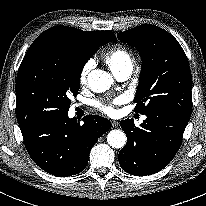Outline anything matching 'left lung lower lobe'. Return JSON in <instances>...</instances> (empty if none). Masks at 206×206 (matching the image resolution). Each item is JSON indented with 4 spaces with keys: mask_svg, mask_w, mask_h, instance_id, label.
<instances>
[{
    "mask_svg": "<svg viewBox=\"0 0 206 206\" xmlns=\"http://www.w3.org/2000/svg\"><path fill=\"white\" fill-rule=\"evenodd\" d=\"M146 120L136 127L133 119L120 122L127 144L118 160L124 171L135 176L154 174L175 156L182 143L190 114L156 109L145 113Z\"/></svg>",
    "mask_w": 206,
    "mask_h": 206,
    "instance_id": "0a47b994",
    "label": "left lung lower lobe"
}]
</instances>
